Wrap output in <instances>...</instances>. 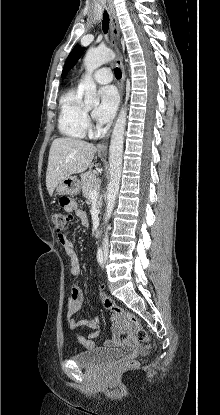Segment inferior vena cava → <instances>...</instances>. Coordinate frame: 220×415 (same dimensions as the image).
I'll list each match as a JSON object with an SVG mask.
<instances>
[{"instance_id": "602c4592", "label": "inferior vena cava", "mask_w": 220, "mask_h": 415, "mask_svg": "<svg viewBox=\"0 0 220 415\" xmlns=\"http://www.w3.org/2000/svg\"><path fill=\"white\" fill-rule=\"evenodd\" d=\"M108 229H109V227H107V230ZM108 248H109V243H108V235H107V232H106V235L103 239V250L108 251Z\"/></svg>"}]
</instances>
